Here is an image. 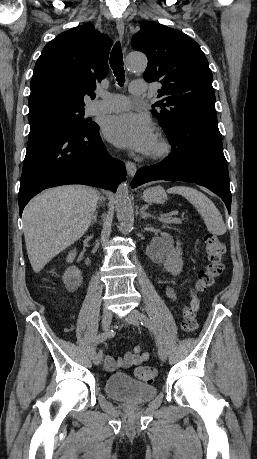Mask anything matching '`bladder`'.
I'll list each match as a JSON object with an SVG mask.
<instances>
[{"label": "bladder", "instance_id": "bladder-1", "mask_svg": "<svg viewBox=\"0 0 257 459\" xmlns=\"http://www.w3.org/2000/svg\"><path fill=\"white\" fill-rule=\"evenodd\" d=\"M106 395L119 402L127 404H144L157 395L153 385L137 381L127 373H115L105 381Z\"/></svg>", "mask_w": 257, "mask_h": 459}]
</instances>
